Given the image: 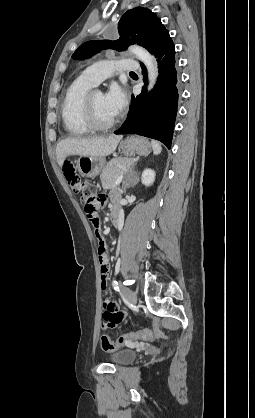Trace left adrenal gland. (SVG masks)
Segmentation results:
<instances>
[{"label":"left adrenal gland","instance_id":"a2214340","mask_svg":"<svg viewBox=\"0 0 255 418\" xmlns=\"http://www.w3.org/2000/svg\"><path fill=\"white\" fill-rule=\"evenodd\" d=\"M136 163H137V161L135 162V163H133L132 164V166H131V168L129 169V173H131V174H134V175H136L137 173L134 171V167H135V165H136ZM135 186V183L134 184H130L128 181H127V179L123 182V190H124V192H126V189L127 188H129V187H134Z\"/></svg>","mask_w":255,"mask_h":418}]
</instances>
